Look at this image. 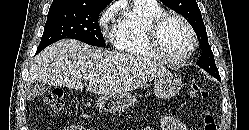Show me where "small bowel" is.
Returning a JSON list of instances; mask_svg holds the SVG:
<instances>
[{"mask_svg":"<svg viewBox=\"0 0 249 130\" xmlns=\"http://www.w3.org/2000/svg\"><path fill=\"white\" fill-rule=\"evenodd\" d=\"M159 125L162 130H189L184 122L172 116H161L159 119ZM63 130H94V129L86 128L83 125H69ZM143 130H151V128L146 127Z\"/></svg>","mask_w":249,"mask_h":130,"instance_id":"small-bowel-1","label":"small bowel"}]
</instances>
